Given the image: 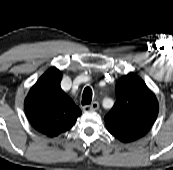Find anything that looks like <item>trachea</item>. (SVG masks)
Instances as JSON below:
<instances>
[{
    "label": "trachea",
    "mask_w": 173,
    "mask_h": 170,
    "mask_svg": "<svg viewBox=\"0 0 173 170\" xmlns=\"http://www.w3.org/2000/svg\"><path fill=\"white\" fill-rule=\"evenodd\" d=\"M92 101V89L90 87H86L82 94V105H88Z\"/></svg>",
    "instance_id": "obj_1"
}]
</instances>
